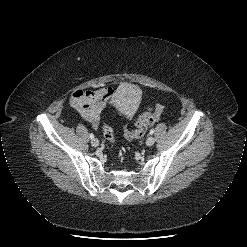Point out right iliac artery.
Returning a JSON list of instances; mask_svg holds the SVG:
<instances>
[{
	"label": "right iliac artery",
	"mask_w": 247,
	"mask_h": 247,
	"mask_svg": "<svg viewBox=\"0 0 247 247\" xmlns=\"http://www.w3.org/2000/svg\"><path fill=\"white\" fill-rule=\"evenodd\" d=\"M89 137H90L91 139H94V134L90 133Z\"/></svg>",
	"instance_id": "82829eb1"
}]
</instances>
